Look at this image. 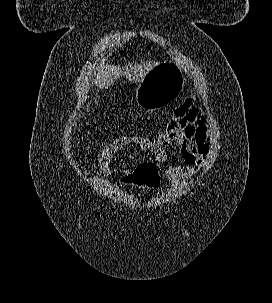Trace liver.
Listing matches in <instances>:
<instances>
[{
  "label": "liver",
  "instance_id": "obj_1",
  "mask_svg": "<svg viewBox=\"0 0 272 303\" xmlns=\"http://www.w3.org/2000/svg\"><path fill=\"white\" fill-rule=\"evenodd\" d=\"M159 63L156 61H146L135 63L134 65H125L121 68L119 65L101 64L95 70V85L100 89L107 88L120 78L125 76L130 82H141L142 79Z\"/></svg>",
  "mask_w": 272,
  "mask_h": 303
}]
</instances>
